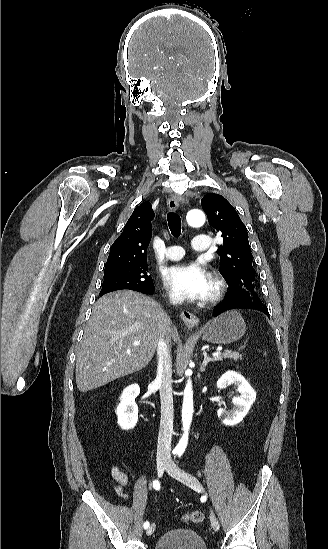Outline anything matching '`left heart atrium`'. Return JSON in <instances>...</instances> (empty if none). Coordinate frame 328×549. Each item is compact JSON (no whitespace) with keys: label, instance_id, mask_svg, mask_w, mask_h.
Returning <instances> with one entry per match:
<instances>
[{"label":"left heart atrium","instance_id":"39dd6f15","mask_svg":"<svg viewBox=\"0 0 328 549\" xmlns=\"http://www.w3.org/2000/svg\"><path fill=\"white\" fill-rule=\"evenodd\" d=\"M165 285L177 300H201L211 293L212 277L201 264L193 262L167 271Z\"/></svg>","mask_w":328,"mask_h":549}]
</instances>
